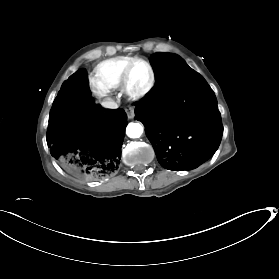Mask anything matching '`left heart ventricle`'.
I'll return each instance as SVG.
<instances>
[{"label": "left heart ventricle", "mask_w": 279, "mask_h": 279, "mask_svg": "<svg viewBox=\"0 0 279 279\" xmlns=\"http://www.w3.org/2000/svg\"><path fill=\"white\" fill-rule=\"evenodd\" d=\"M150 81V71L146 64L136 62L130 72L129 82L134 91H141Z\"/></svg>", "instance_id": "left-heart-ventricle-1"}]
</instances>
